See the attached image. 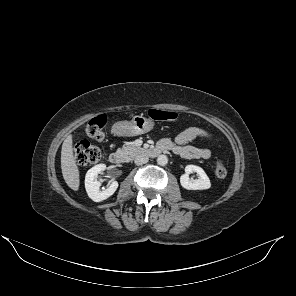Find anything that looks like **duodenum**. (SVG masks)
<instances>
[{
  "label": "duodenum",
  "mask_w": 296,
  "mask_h": 296,
  "mask_svg": "<svg viewBox=\"0 0 296 296\" xmlns=\"http://www.w3.org/2000/svg\"><path fill=\"white\" fill-rule=\"evenodd\" d=\"M167 151V149L163 145H158L155 147L147 148L145 153L150 157H156L159 154ZM125 156L121 152H112L109 155V161L114 165H121L124 163Z\"/></svg>",
  "instance_id": "410a0bca"
}]
</instances>
